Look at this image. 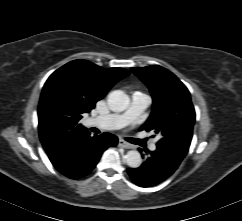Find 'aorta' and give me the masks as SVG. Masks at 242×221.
<instances>
[{"label": "aorta", "mask_w": 242, "mask_h": 221, "mask_svg": "<svg viewBox=\"0 0 242 221\" xmlns=\"http://www.w3.org/2000/svg\"><path fill=\"white\" fill-rule=\"evenodd\" d=\"M107 103L111 111L122 112L129 103L128 96L121 90H115L109 93ZM125 162L131 168H137L141 165V155L137 150H130L125 155Z\"/></svg>", "instance_id": "aorta-1"}]
</instances>
